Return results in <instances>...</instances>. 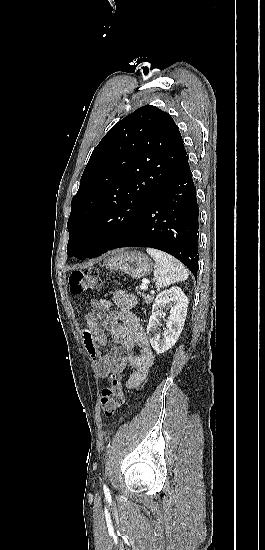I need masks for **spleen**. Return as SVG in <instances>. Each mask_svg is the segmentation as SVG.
<instances>
[{
    "label": "spleen",
    "mask_w": 265,
    "mask_h": 550,
    "mask_svg": "<svg viewBox=\"0 0 265 550\" xmlns=\"http://www.w3.org/2000/svg\"><path fill=\"white\" fill-rule=\"evenodd\" d=\"M146 251L155 261L154 278L157 288H164L188 278L185 267L171 255L153 248H147Z\"/></svg>",
    "instance_id": "spleen-1"
}]
</instances>
